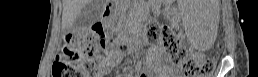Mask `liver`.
Here are the masks:
<instances>
[{
    "label": "liver",
    "instance_id": "liver-1",
    "mask_svg": "<svg viewBox=\"0 0 258 77\" xmlns=\"http://www.w3.org/2000/svg\"><path fill=\"white\" fill-rule=\"evenodd\" d=\"M90 0H63L62 26L69 28L73 25L74 20Z\"/></svg>",
    "mask_w": 258,
    "mask_h": 77
}]
</instances>
